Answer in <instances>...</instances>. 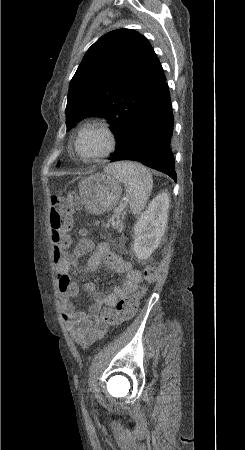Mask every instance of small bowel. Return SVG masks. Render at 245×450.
<instances>
[{"label": "small bowel", "instance_id": "1", "mask_svg": "<svg viewBox=\"0 0 245 450\" xmlns=\"http://www.w3.org/2000/svg\"><path fill=\"white\" fill-rule=\"evenodd\" d=\"M92 251L91 256L83 265L81 258ZM103 264L108 270L124 279L114 286L107 294H101L94 283L84 285L89 295L91 306L88 311L76 310L71 300L78 296L79 285L72 280L71 268L76 267L86 272L97 269ZM57 287L61 294L62 317L73 339L87 347L103 337L108 329L105 322L99 318L103 305L115 307L117 301L132 293L141 282V274L134 270L130 263L111 251V245L103 242L95 245L90 240H80L76 249L56 266Z\"/></svg>", "mask_w": 245, "mask_h": 450}]
</instances>
